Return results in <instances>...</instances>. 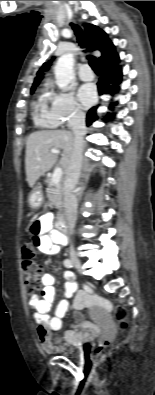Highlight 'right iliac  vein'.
I'll return each instance as SVG.
<instances>
[{
  "label": "right iliac vein",
  "mask_w": 155,
  "mask_h": 395,
  "mask_svg": "<svg viewBox=\"0 0 155 395\" xmlns=\"http://www.w3.org/2000/svg\"><path fill=\"white\" fill-rule=\"evenodd\" d=\"M71 262H72V264H73L78 270H81V268H82L81 262H80V260H79L76 256H73V257L71 258Z\"/></svg>",
  "instance_id": "right-iliac-vein-1"
}]
</instances>
